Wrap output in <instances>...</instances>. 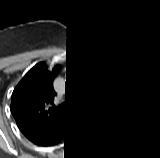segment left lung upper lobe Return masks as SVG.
Wrapping results in <instances>:
<instances>
[{"instance_id":"obj_1","label":"left lung upper lobe","mask_w":160,"mask_h":158,"mask_svg":"<svg viewBox=\"0 0 160 158\" xmlns=\"http://www.w3.org/2000/svg\"><path fill=\"white\" fill-rule=\"evenodd\" d=\"M103 99L108 105L102 119L126 131L138 133L146 113V100L140 85L119 60L102 61Z\"/></svg>"}]
</instances>
